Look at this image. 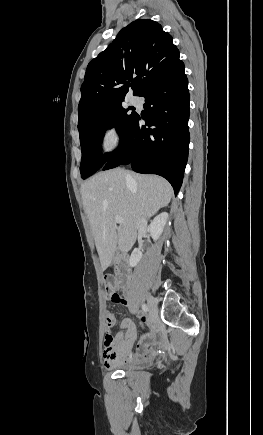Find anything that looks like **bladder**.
Instances as JSON below:
<instances>
[{"mask_svg": "<svg viewBox=\"0 0 263 435\" xmlns=\"http://www.w3.org/2000/svg\"><path fill=\"white\" fill-rule=\"evenodd\" d=\"M148 361H137L132 363L123 364L122 368L124 370H137L145 367Z\"/></svg>", "mask_w": 263, "mask_h": 435, "instance_id": "31cf9c89", "label": "bladder"}]
</instances>
